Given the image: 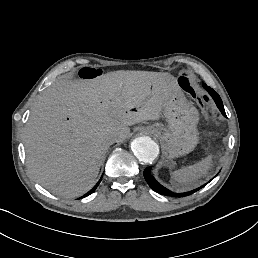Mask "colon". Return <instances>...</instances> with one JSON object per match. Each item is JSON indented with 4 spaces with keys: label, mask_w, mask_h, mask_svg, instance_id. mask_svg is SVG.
I'll list each match as a JSON object with an SVG mask.
<instances>
[{
    "label": "colon",
    "mask_w": 258,
    "mask_h": 258,
    "mask_svg": "<svg viewBox=\"0 0 258 258\" xmlns=\"http://www.w3.org/2000/svg\"><path fill=\"white\" fill-rule=\"evenodd\" d=\"M104 71L100 68L96 67H84L80 69L77 73V77L83 80H94L98 77H100ZM183 87L194 97H197L200 103H202L204 106L209 105V98L204 95L200 94L195 86V83L193 81V78L190 74H185L181 78Z\"/></svg>",
    "instance_id": "5ec220e1"
}]
</instances>
